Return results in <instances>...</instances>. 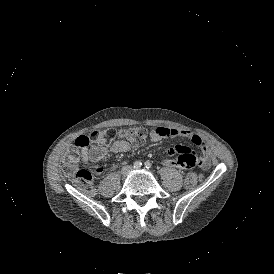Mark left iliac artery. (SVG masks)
<instances>
[{
    "label": "left iliac artery",
    "instance_id": "1",
    "mask_svg": "<svg viewBox=\"0 0 274 274\" xmlns=\"http://www.w3.org/2000/svg\"><path fill=\"white\" fill-rule=\"evenodd\" d=\"M152 167V164L149 161L145 162V168L150 169Z\"/></svg>",
    "mask_w": 274,
    "mask_h": 274
}]
</instances>
